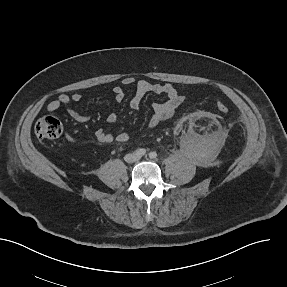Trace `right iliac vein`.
Returning <instances> with one entry per match:
<instances>
[{"mask_svg": "<svg viewBox=\"0 0 287 287\" xmlns=\"http://www.w3.org/2000/svg\"><path fill=\"white\" fill-rule=\"evenodd\" d=\"M127 158H128V159H131V158H132V155H129Z\"/></svg>", "mask_w": 287, "mask_h": 287, "instance_id": "63e3f726", "label": "right iliac vein"}]
</instances>
